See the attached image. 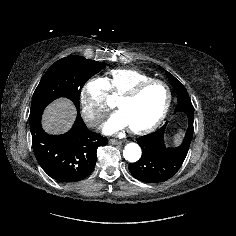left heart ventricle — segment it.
I'll return each instance as SVG.
<instances>
[{
  "label": "left heart ventricle",
  "instance_id": "left-heart-ventricle-1",
  "mask_svg": "<svg viewBox=\"0 0 236 236\" xmlns=\"http://www.w3.org/2000/svg\"><path fill=\"white\" fill-rule=\"evenodd\" d=\"M166 102L165 87L153 84L133 101L121 104L119 111L125 116L129 127L141 128L151 124L159 116Z\"/></svg>",
  "mask_w": 236,
  "mask_h": 236
}]
</instances>
